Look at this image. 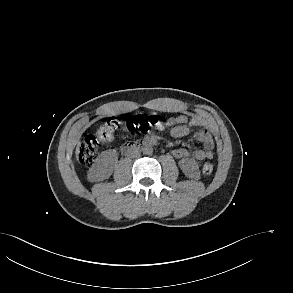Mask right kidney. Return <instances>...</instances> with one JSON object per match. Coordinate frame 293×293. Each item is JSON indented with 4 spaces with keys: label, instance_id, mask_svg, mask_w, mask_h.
<instances>
[{
    "label": "right kidney",
    "instance_id": "obj_1",
    "mask_svg": "<svg viewBox=\"0 0 293 293\" xmlns=\"http://www.w3.org/2000/svg\"><path fill=\"white\" fill-rule=\"evenodd\" d=\"M112 173L109 163L104 161H97L89 170L88 179L92 182L102 181L107 179Z\"/></svg>",
    "mask_w": 293,
    "mask_h": 293
}]
</instances>
